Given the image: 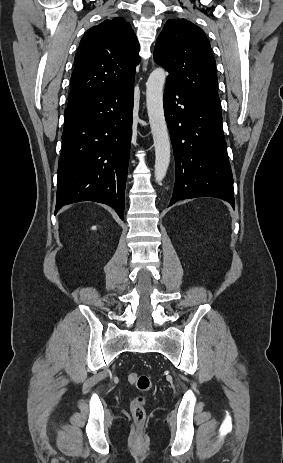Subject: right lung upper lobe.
<instances>
[{
	"mask_svg": "<svg viewBox=\"0 0 283 463\" xmlns=\"http://www.w3.org/2000/svg\"><path fill=\"white\" fill-rule=\"evenodd\" d=\"M138 52L136 35L123 18L107 19L91 27L75 56L68 105L134 81Z\"/></svg>",
	"mask_w": 283,
	"mask_h": 463,
	"instance_id": "cb5924a9",
	"label": "right lung upper lobe"
}]
</instances>
